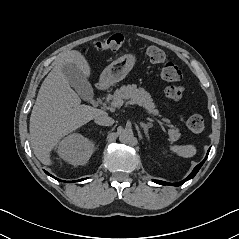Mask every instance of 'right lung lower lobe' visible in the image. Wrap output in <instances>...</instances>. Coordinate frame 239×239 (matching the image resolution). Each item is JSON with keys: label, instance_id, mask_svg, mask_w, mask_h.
<instances>
[{"label": "right lung lower lobe", "instance_id": "obj_1", "mask_svg": "<svg viewBox=\"0 0 239 239\" xmlns=\"http://www.w3.org/2000/svg\"><path fill=\"white\" fill-rule=\"evenodd\" d=\"M45 173H46V174H48L49 176H51V177L55 178L54 176H52V175H51V174H49L48 172H46V171H45ZM55 179H57V178H55ZM57 180H60V179H57ZM82 180H83V179H81V180H78V181H82ZM65 182H66V181H65Z\"/></svg>", "mask_w": 239, "mask_h": 239}]
</instances>
